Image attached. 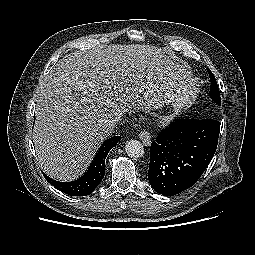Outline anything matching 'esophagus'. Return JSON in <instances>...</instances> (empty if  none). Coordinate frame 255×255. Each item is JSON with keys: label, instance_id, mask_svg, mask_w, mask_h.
<instances>
[{"label": "esophagus", "instance_id": "esophagus-1", "mask_svg": "<svg viewBox=\"0 0 255 255\" xmlns=\"http://www.w3.org/2000/svg\"><path fill=\"white\" fill-rule=\"evenodd\" d=\"M139 137L144 145L149 146L151 144V136L147 131H141L139 133Z\"/></svg>", "mask_w": 255, "mask_h": 255}]
</instances>
